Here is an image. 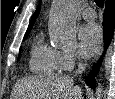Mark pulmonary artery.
Returning <instances> with one entry per match:
<instances>
[{
  "label": "pulmonary artery",
  "mask_w": 115,
  "mask_h": 99,
  "mask_svg": "<svg viewBox=\"0 0 115 99\" xmlns=\"http://www.w3.org/2000/svg\"><path fill=\"white\" fill-rule=\"evenodd\" d=\"M82 16L85 20L93 21L96 19V13L92 8H85L82 12Z\"/></svg>",
  "instance_id": "obj_1"
}]
</instances>
